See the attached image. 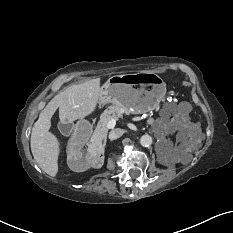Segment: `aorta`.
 I'll return each mask as SVG.
<instances>
[{"instance_id": "762f6f07", "label": "aorta", "mask_w": 233, "mask_h": 233, "mask_svg": "<svg viewBox=\"0 0 233 233\" xmlns=\"http://www.w3.org/2000/svg\"><path fill=\"white\" fill-rule=\"evenodd\" d=\"M140 144L143 146V147H149L151 144H152V138L151 136L149 135H143L141 138H140Z\"/></svg>"}]
</instances>
